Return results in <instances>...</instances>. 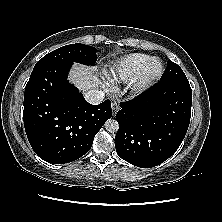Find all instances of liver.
I'll return each instance as SVG.
<instances>
[{"label":"liver","mask_w":222,"mask_h":222,"mask_svg":"<svg viewBox=\"0 0 222 222\" xmlns=\"http://www.w3.org/2000/svg\"><path fill=\"white\" fill-rule=\"evenodd\" d=\"M69 80L79 90L86 92L97 86L98 75L93 69L82 64L74 63L69 72Z\"/></svg>","instance_id":"liver-1"}]
</instances>
